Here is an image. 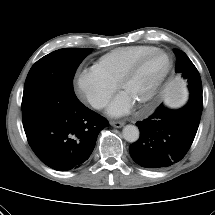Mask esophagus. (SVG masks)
<instances>
[{
    "label": "esophagus",
    "instance_id": "obj_1",
    "mask_svg": "<svg viewBox=\"0 0 215 215\" xmlns=\"http://www.w3.org/2000/svg\"><path fill=\"white\" fill-rule=\"evenodd\" d=\"M124 122L122 121H110V125H112L115 128H121L122 126H124Z\"/></svg>",
    "mask_w": 215,
    "mask_h": 215
}]
</instances>
